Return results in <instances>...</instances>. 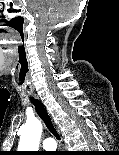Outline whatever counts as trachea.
<instances>
[{
  "label": "trachea",
  "mask_w": 119,
  "mask_h": 155,
  "mask_svg": "<svg viewBox=\"0 0 119 155\" xmlns=\"http://www.w3.org/2000/svg\"><path fill=\"white\" fill-rule=\"evenodd\" d=\"M22 90H27V87H22ZM24 96H30V93H24ZM30 100H31V103H33L34 105L37 114L42 119V121L45 123L48 130L59 140L60 136L52 122L50 115L47 113L43 104L39 100L34 99V98H30Z\"/></svg>",
  "instance_id": "1"
}]
</instances>
